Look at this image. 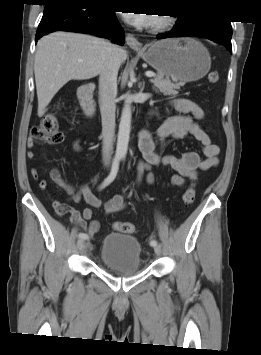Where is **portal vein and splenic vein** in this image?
I'll use <instances>...</instances> for the list:
<instances>
[{"instance_id": "1", "label": "portal vein and splenic vein", "mask_w": 261, "mask_h": 355, "mask_svg": "<svg viewBox=\"0 0 261 355\" xmlns=\"http://www.w3.org/2000/svg\"><path fill=\"white\" fill-rule=\"evenodd\" d=\"M145 75H146L147 77H153L155 74H154L153 72H151V71H147V72L145 73Z\"/></svg>"}]
</instances>
